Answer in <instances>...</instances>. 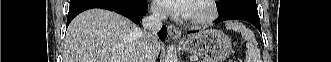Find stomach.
<instances>
[{
	"label": "stomach",
	"mask_w": 331,
	"mask_h": 62,
	"mask_svg": "<svg viewBox=\"0 0 331 62\" xmlns=\"http://www.w3.org/2000/svg\"><path fill=\"white\" fill-rule=\"evenodd\" d=\"M186 52L200 56L203 62H223L232 51L229 37L219 30H203L183 42Z\"/></svg>",
	"instance_id": "1"
}]
</instances>
